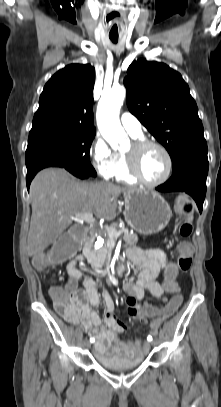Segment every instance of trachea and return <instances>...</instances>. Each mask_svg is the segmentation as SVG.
<instances>
[{
	"label": "trachea",
	"mask_w": 221,
	"mask_h": 407,
	"mask_svg": "<svg viewBox=\"0 0 221 407\" xmlns=\"http://www.w3.org/2000/svg\"><path fill=\"white\" fill-rule=\"evenodd\" d=\"M110 40H111L113 43H117V42H118V37H111V36H110Z\"/></svg>",
	"instance_id": "1"
}]
</instances>
